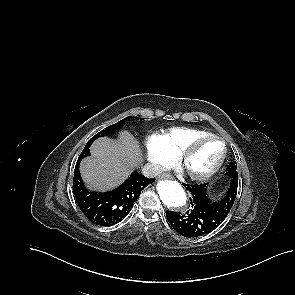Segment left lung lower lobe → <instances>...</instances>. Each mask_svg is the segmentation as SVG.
Instances as JSON below:
<instances>
[{
  "label": "left lung lower lobe",
  "mask_w": 295,
  "mask_h": 295,
  "mask_svg": "<svg viewBox=\"0 0 295 295\" xmlns=\"http://www.w3.org/2000/svg\"><path fill=\"white\" fill-rule=\"evenodd\" d=\"M226 175L230 181L229 187L224 197L215 202L208 198L206 184H183L191 193V209L185 214L174 211L166 213L167 220L179 234L189 238L202 236L213 231L225 220L234 204L238 188L237 173Z\"/></svg>",
  "instance_id": "obj_1"
}]
</instances>
